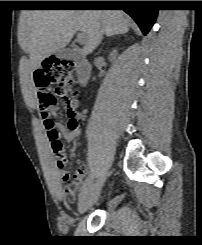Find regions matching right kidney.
Wrapping results in <instances>:
<instances>
[{
    "label": "right kidney",
    "instance_id": "obj_1",
    "mask_svg": "<svg viewBox=\"0 0 202 245\" xmlns=\"http://www.w3.org/2000/svg\"><path fill=\"white\" fill-rule=\"evenodd\" d=\"M116 56H117V51L116 50H113L111 53H110V60L113 61L116 59Z\"/></svg>",
    "mask_w": 202,
    "mask_h": 245
}]
</instances>
